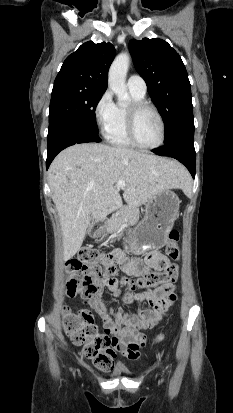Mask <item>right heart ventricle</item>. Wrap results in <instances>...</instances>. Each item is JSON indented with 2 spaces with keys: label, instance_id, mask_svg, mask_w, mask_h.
I'll use <instances>...</instances> for the list:
<instances>
[{
  "label": "right heart ventricle",
  "instance_id": "1",
  "mask_svg": "<svg viewBox=\"0 0 233 413\" xmlns=\"http://www.w3.org/2000/svg\"><path fill=\"white\" fill-rule=\"evenodd\" d=\"M132 102L143 101L144 96H140L134 92H130ZM127 110L124 105H116L115 114L110 127L105 132L107 141L118 147L134 146L128 138L127 134Z\"/></svg>",
  "mask_w": 233,
  "mask_h": 413
}]
</instances>
